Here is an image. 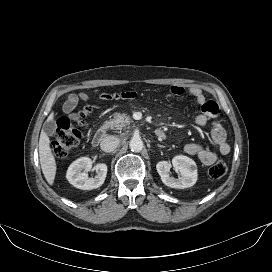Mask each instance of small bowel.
<instances>
[{"label":"small bowel","instance_id":"1","mask_svg":"<svg viewBox=\"0 0 272 272\" xmlns=\"http://www.w3.org/2000/svg\"><path fill=\"white\" fill-rule=\"evenodd\" d=\"M171 93L177 97L183 96L185 93L191 95L196 103L200 106V112L195 117V123L198 126H204L210 123V138L215 144L219 152L222 155H227L230 152V146L226 139V132L223 126L217 121L219 115V106L215 101L207 100L200 88L189 87L185 89L182 86L174 85L171 87ZM137 94L134 91H118L112 93H103L100 95L99 99L101 101L107 100H119V99H134ZM89 99L86 93L71 94L66 99L63 105V111L72 120L77 121L78 115L74 112L79 100L87 102ZM91 114V109L87 113ZM184 150L187 154L191 156H196L204 165L213 164L217 155L215 152L209 150L201 143H188L185 145Z\"/></svg>","mask_w":272,"mask_h":272}]
</instances>
